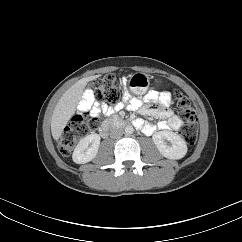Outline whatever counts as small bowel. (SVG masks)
Here are the masks:
<instances>
[{"instance_id": "small-bowel-1", "label": "small bowel", "mask_w": 242, "mask_h": 242, "mask_svg": "<svg viewBox=\"0 0 242 242\" xmlns=\"http://www.w3.org/2000/svg\"><path fill=\"white\" fill-rule=\"evenodd\" d=\"M145 102L158 103L159 106H150L143 103L142 100L131 97L128 92L124 94V103H119L112 109L104 106L102 109L105 113H112L113 111L120 109L127 105L132 111H138L144 116L155 117L161 119L157 125L145 123L141 120H137V126L143 130L146 134L153 133L156 129H171L178 130L182 125V120L168 107L172 102V95L169 92H157L154 90L149 91L145 97ZM80 108L82 110H91L94 115H98L101 111L99 106L95 104L93 95L91 92H86L82 101L80 102Z\"/></svg>"}]
</instances>
